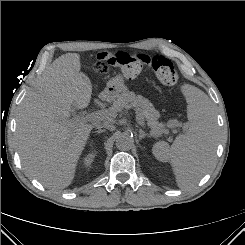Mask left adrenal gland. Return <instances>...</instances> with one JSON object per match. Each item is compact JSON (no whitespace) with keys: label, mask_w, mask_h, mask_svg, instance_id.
Returning a JSON list of instances; mask_svg holds the SVG:
<instances>
[{"label":"left adrenal gland","mask_w":245,"mask_h":245,"mask_svg":"<svg viewBox=\"0 0 245 245\" xmlns=\"http://www.w3.org/2000/svg\"><path fill=\"white\" fill-rule=\"evenodd\" d=\"M145 137H150L148 133H145L142 129H139V139L142 140Z\"/></svg>","instance_id":"1"}]
</instances>
